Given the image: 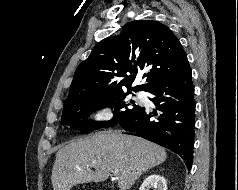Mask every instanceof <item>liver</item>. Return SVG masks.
I'll list each match as a JSON object with an SVG mask.
<instances>
[{
    "label": "liver",
    "mask_w": 238,
    "mask_h": 190,
    "mask_svg": "<svg viewBox=\"0 0 238 190\" xmlns=\"http://www.w3.org/2000/svg\"><path fill=\"white\" fill-rule=\"evenodd\" d=\"M166 158L162 147L141 137L98 132L58 150L51 175L52 187L70 190L77 184L103 182L114 173L120 190H128L143 173Z\"/></svg>",
    "instance_id": "liver-1"
}]
</instances>
